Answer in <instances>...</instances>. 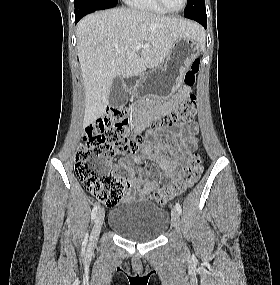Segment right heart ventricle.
<instances>
[{
  "label": "right heart ventricle",
  "mask_w": 280,
  "mask_h": 285,
  "mask_svg": "<svg viewBox=\"0 0 280 285\" xmlns=\"http://www.w3.org/2000/svg\"><path fill=\"white\" fill-rule=\"evenodd\" d=\"M128 5L145 12H152L158 14L166 13L158 4L156 0H126Z\"/></svg>",
  "instance_id": "1"
}]
</instances>
